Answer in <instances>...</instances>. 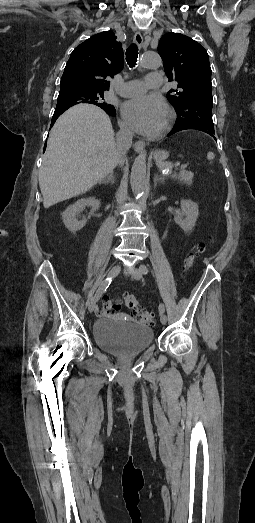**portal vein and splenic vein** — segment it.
<instances>
[{"label": "portal vein and splenic vein", "mask_w": 255, "mask_h": 523, "mask_svg": "<svg viewBox=\"0 0 255 523\" xmlns=\"http://www.w3.org/2000/svg\"><path fill=\"white\" fill-rule=\"evenodd\" d=\"M187 165H190V162H187L185 166H181V168H179V173L185 174L187 172Z\"/></svg>", "instance_id": "obj_1"}]
</instances>
